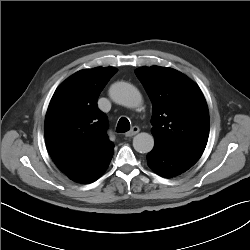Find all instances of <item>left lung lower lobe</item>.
<instances>
[{
  "label": "left lung lower lobe",
  "mask_w": 250,
  "mask_h": 250,
  "mask_svg": "<svg viewBox=\"0 0 250 250\" xmlns=\"http://www.w3.org/2000/svg\"><path fill=\"white\" fill-rule=\"evenodd\" d=\"M201 155L194 151L169 150L154 145L147 155V163L159 175L171 178L191 168Z\"/></svg>",
  "instance_id": "0a47b994"
}]
</instances>
